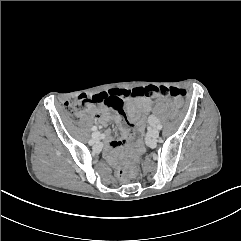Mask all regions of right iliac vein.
<instances>
[{"instance_id":"63e3f726","label":"right iliac vein","mask_w":241,"mask_h":241,"mask_svg":"<svg viewBox=\"0 0 241 241\" xmlns=\"http://www.w3.org/2000/svg\"><path fill=\"white\" fill-rule=\"evenodd\" d=\"M99 137H100V133H99L98 131H94V132L92 133V138L98 139Z\"/></svg>"}]
</instances>
